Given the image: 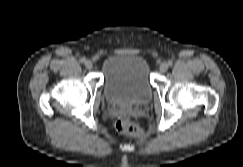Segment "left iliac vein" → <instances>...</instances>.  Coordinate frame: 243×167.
<instances>
[{
    "instance_id": "obj_1",
    "label": "left iliac vein",
    "mask_w": 243,
    "mask_h": 167,
    "mask_svg": "<svg viewBox=\"0 0 243 167\" xmlns=\"http://www.w3.org/2000/svg\"><path fill=\"white\" fill-rule=\"evenodd\" d=\"M160 72L164 73L168 70V64L166 62H163L161 65H160Z\"/></svg>"
}]
</instances>
